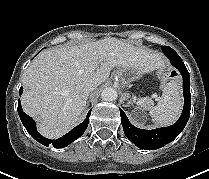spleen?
<instances>
[{"label": "spleen", "mask_w": 209, "mask_h": 179, "mask_svg": "<svg viewBox=\"0 0 209 179\" xmlns=\"http://www.w3.org/2000/svg\"><path fill=\"white\" fill-rule=\"evenodd\" d=\"M183 104L181 85L177 81H170L163 87L162 95L157 105L150 109L153 121L166 126L174 123L181 112Z\"/></svg>", "instance_id": "spleen-1"}]
</instances>
